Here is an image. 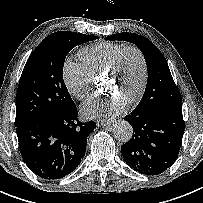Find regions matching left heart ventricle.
I'll list each match as a JSON object with an SVG mask.
<instances>
[{"instance_id": "left-heart-ventricle-1", "label": "left heart ventricle", "mask_w": 203, "mask_h": 203, "mask_svg": "<svg viewBox=\"0 0 203 203\" xmlns=\"http://www.w3.org/2000/svg\"><path fill=\"white\" fill-rule=\"evenodd\" d=\"M141 75V61L135 52L129 51L123 57L118 69L105 77L102 89L125 102L137 90Z\"/></svg>"}]
</instances>
